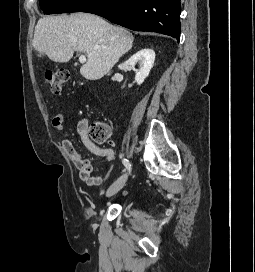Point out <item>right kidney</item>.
<instances>
[{"label": "right kidney", "mask_w": 255, "mask_h": 272, "mask_svg": "<svg viewBox=\"0 0 255 272\" xmlns=\"http://www.w3.org/2000/svg\"><path fill=\"white\" fill-rule=\"evenodd\" d=\"M155 61V52L152 49H141L132 55L123 65L134 67L139 63V69L135 75V81L138 85L142 84L148 77Z\"/></svg>", "instance_id": "1"}]
</instances>
